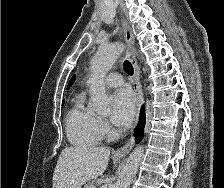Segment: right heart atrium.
Returning a JSON list of instances; mask_svg holds the SVG:
<instances>
[{"label": "right heart atrium", "mask_w": 224, "mask_h": 188, "mask_svg": "<svg viewBox=\"0 0 224 188\" xmlns=\"http://www.w3.org/2000/svg\"><path fill=\"white\" fill-rule=\"evenodd\" d=\"M100 129L103 133L109 132V125L104 119H99Z\"/></svg>", "instance_id": "obj_1"}]
</instances>
